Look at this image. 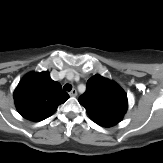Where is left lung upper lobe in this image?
<instances>
[{
	"instance_id": "left-lung-upper-lobe-1",
	"label": "left lung upper lobe",
	"mask_w": 163,
	"mask_h": 163,
	"mask_svg": "<svg viewBox=\"0 0 163 163\" xmlns=\"http://www.w3.org/2000/svg\"><path fill=\"white\" fill-rule=\"evenodd\" d=\"M78 101L86 108L91 119L103 127L118 124L128 108L124 90L101 75H94L88 80L87 90Z\"/></svg>"
}]
</instances>
